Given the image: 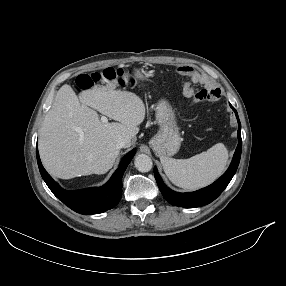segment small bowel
Listing matches in <instances>:
<instances>
[{
    "label": "small bowel",
    "mask_w": 286,
    "mask_h": 286,
    "mask_svg": "<svg viewBox=\"0 0 286 286\" xmlns=\"http://www.w3.org/2000/svg\"><path fill=\"white\" fill-rule=\"evenodd\" d=\"M179 73L181 75H184V76L190 78L191 81L194 82V83H200V84H204V85L207 86V88H205V89L200 91L201 93L204 94L205 100L213 101V100H216L219 97L220 90L218 88L210 87L208 79L202 73H199V72L195 71L190 66H184V67L179 68ZM184 94H185L186 97H192L193 96L194 90L191 87V85L188 84V85L185 86ZM207 94L209 95V97H206ZM194 101L195 102H200V101H196L195 97H194Z\"/></svg>",
    "instance_id": "c3829d8e"
}]
</instances>
